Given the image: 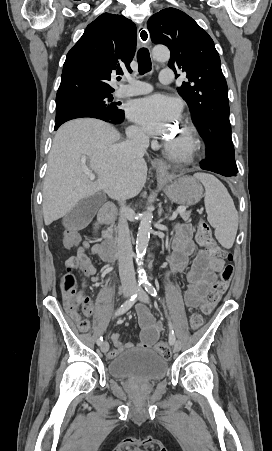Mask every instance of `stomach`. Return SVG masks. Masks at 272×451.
<instances>
[{
	"instance_id": "obj_1",
	"label": "stomach",
	"mask_w": 272,
	"mask_h": 451,
	"mask_svg": "<svg viewBox=\"0 0 272 451\" xmlns=\"http://www.w3.org/2000/svg\"><path fill=\"white\" fill-rule=\"evenodd\" d=\"M157 180L159 184L171 182V184L165 186L164 192L175 204L194 206L203 198V188L192 176H180V178H177V176H167V178L157 176Z\"/></svg>"
}]
</instances>
